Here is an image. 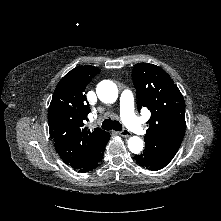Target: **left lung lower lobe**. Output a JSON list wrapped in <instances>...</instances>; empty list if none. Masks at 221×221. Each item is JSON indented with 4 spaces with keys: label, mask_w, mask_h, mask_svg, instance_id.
Segmentation results:
<instances>
[{
    "label": "left lung lower lobe",
    "mask_w": 221,
    "mask_h": 221,
    "mask_svg": "<svg viewBox=\"0 0 221 221\" xmlns=\"http://www.w3.org/2000/svg\"><path fill=\"white\" fill-rule=\"evenodd\" d=\"M134 159L141 167L147 168L152 171L160 170L168 164L167 162L157 159L145 151L140 155L134 156Z\"/></svg>",
    "instance_id": "1"
}]
</instances>
